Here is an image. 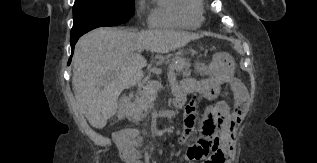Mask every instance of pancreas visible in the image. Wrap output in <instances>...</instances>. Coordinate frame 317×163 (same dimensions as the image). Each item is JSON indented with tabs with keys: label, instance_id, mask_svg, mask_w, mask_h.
I'll return each mask as SVG.
<instances>
[{
	"label": "pancreas",
	"instance_id": "1",
	"mask_svg": "<svg viewBox=\"0 0 317 163\" xmlns=\"http://www.w3.org/2000/svg\"><path fill=\"white\" fill-rule=\"evenodd\" d=\"M191 63L188 59L182 57L173 58L169 65V71H176L183 76H189L191 74ZM157 97V91L150 87L149 82L145 83L143 90L139 91L126 111V116L134 123H138L147 117L150 110L153 108V102Z\"/></svg>",
	"mask_w": 317,
	"mask_h": 163
}]
</instances>
